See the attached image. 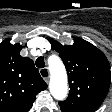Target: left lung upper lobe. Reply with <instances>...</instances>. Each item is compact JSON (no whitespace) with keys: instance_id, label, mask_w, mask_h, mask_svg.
Returning <instances> with one entry per match:
<instances>
[{"instance_id":"obj_1","label":"left lung upper lobe","mask_w":112,"mask_h":112,"mask_svg":"<svg viewBox=\"0 0 112 112\" xmlns=\"http://www.w3.org/2000/svg\"><path fill=\"white\" fill-rule=\"evenodd\" d=\"M66 67L69 95L59 105L62 112H94L104 101L111 82L110 65L98 48L82 38L74 44L62 45L51 39Z\"/></svg>"}]
</instances>
